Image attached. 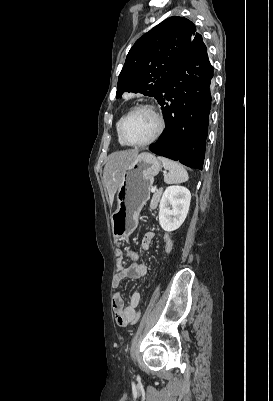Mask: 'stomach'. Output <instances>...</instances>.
<instances>
[{
    "label": "stomach",
    "instance_id": "1",
    "mask_svg": "<svg viewBox=\"0 0 273 401\" xmlns=\"http://www.w3.org/2000/svg\"><path fill=\"white\" fill-rule=\"evenodd\" d=\"M161 162L151 152H141L134 162L123 170V180L116 192L117 209L111 215L114 239L129 237L138 227L139 213L149 201L154 176Z\"/></svg>",
    "mask_w": 273,
    "mask_h": 401
}]
</instances>
